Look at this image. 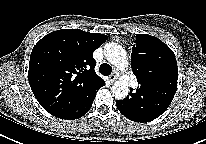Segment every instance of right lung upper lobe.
<instances>
[{"mask_svg": "<svg viewBox=\"0 0 206 144\" xmlns=\"http://www.w3.org/2000/svg\"><path fill=\"white\" fill-rule=\"evenodd\" d=\"M107 36L79 29L51 32L34 46L28 80L39 104L53 116L78 106L104 80L94 67L93 52Z\"/></svg>", "mask_w": 206, "mask_h": 144, "instance_id": "obj_1", "label": "right lung upper lobe"}]
</instances>
